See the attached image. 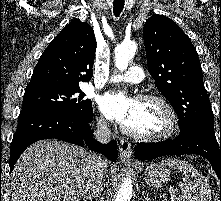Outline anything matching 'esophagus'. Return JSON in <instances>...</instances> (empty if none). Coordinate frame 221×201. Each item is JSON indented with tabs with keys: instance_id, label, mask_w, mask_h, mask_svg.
<instances>
[{
	"instance_id": "34e87169",
	"label": "esophagus",
	"mask_w": 221,
	"mask_h": 201,
	"mask_svg": "<svg viewBox=\"0 0 221 201\" xmlns=\"http://www.w3.org/2000/svg\"><path fill=\"white\" fill-rule=\"evenodd\" d=\"M119 153L120 158L124 162H130L132 157L131 143L128 140H119Z\"/></svg>"
}]
</instances>
